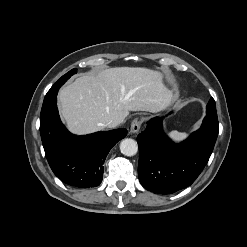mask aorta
<instances>
[{"label":"aorta","mask_w":247,"mask_h":247,"mask_svg":"<svg viewBox=\"0 0 247 247\" xmlns=\"http://www.w3.org/2000/svg\"><path fill=\"white\" fill-rule=\"evenodd\" d=\"M120 151L125 156H133L138 151L137 142L131 138L123 139L120 143Z\"/></svg>","instance_id":"762f6f07"}]
</instances>
